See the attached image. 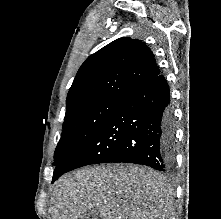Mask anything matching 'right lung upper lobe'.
Instances as JSON below:
<instances>
[{
	"label": "right lung upper lobe",
	"instance_id": "cb5924a9",
	"mask_svg": "<svg viewBox=\"0 0 221 219\" xmlns=\"http://www.w3.org/2000/svg\"><path fill=\"white\" fill-rule=\"evenodd\" d=\"M159 73L148 46L137 39L119 38L82 64L69 89L66 109L96 99H123Z\"/></svg>",
	"mask_w": 221,
	"mask_h": 219
}]
</instances>
